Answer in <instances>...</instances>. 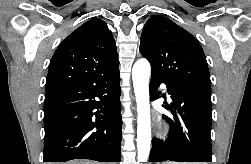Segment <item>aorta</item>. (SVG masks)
<instances>
[{
    "label": "aorta",
    "mask_w": 251,
    "mask_h": 164,
    "mask_svg": "<svg viewBox=\"0 0 251 164\" xmlns=\"http://www.w3.org/2000/svg\"><path fill=\"white\" fill-rule=\"evenodd\" d=\"M150 63L147 59L137 60L132 69V80L137 103V151L138 161L149 157L151 143V117L149 102Z\"/></svg>",
    "instance_id": "obj_1"
}]
</instances>
